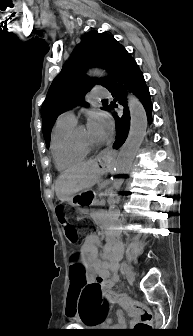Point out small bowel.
<instances>
[{
	"label": "small bowel",
	"instance_id": "c3829d8e",
	"mask_svg": "<svg viewBox=\"0 0 193 336\" xmlns=\"http://www.w3.org/2000/svg\"><path fill=\"white\" fill-rule=\"evenodd\" d=\"M101 220V216H97ZM122 248L119 242L110 241L100 253V239L97 234H90L85 237L79 251L72 253L73 259L78 261L90 270L98 280L104 283L106 288V297L110 301H116L120 304H126L127 296L120 293H114L111 288L118 281V260L120 259ZM79 288L75 283H72L69 288L68 300L69 308L67 316H76V299L79 293ZM118 320L122 321L124 316L122 312L117 313Z\"/></svg>",
	"mask_w": 193,
	"mask_h": 336
}]
</instances>
